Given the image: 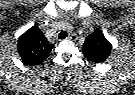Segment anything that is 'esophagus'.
I'll return each instance as SVG.
<instances>
[{"label":"esophagus","instance_id":"obj_1","mask_svg":"<svg viewBox=\"0 0 135 95\" xmlns=\"http://www.w3.org/2000/svg\"><path fill=\"white\" fill-rule=\"evenodd\" d=\"M78 39V36L76 34H71L70 36L67 37V40L70 41H76Z\"/></svg>","mask_w":135,"mask_h":95}]
</instances>
